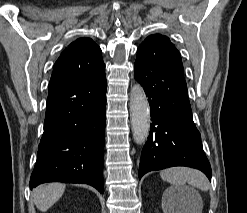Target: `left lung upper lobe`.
Returning <instances> with one entry per match:
<instances>
[{
    "instance_id": "left-lung-upper-lobe-1",
    "label": "left lung upper lobe",
    "mask_w": 247,
    "mask_h": 213,
    "mask_svg": "<svg viewBox=\"0 0 247 213\" xmlns=\"http://www.w3.org/2000/svg\"><path fill=\"white\" fill-rule=\"evenodd\" d=\"M161 58L182 62L179 51L168 37L160 34L150 35L139 46L136 60L151 61Z\"/></svg>"
}]
</instances>
